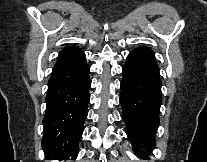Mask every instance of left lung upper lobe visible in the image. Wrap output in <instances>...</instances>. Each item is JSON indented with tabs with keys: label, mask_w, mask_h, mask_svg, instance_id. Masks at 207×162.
I'll list each match as a JSON object with an SVG mask.
<instances>
[{
	"label": "left lung upper lobe",
	"mask_w": 207,
	"mask_h": 162,
	"mask_svg": "<svg viewBox=\"0 0 207 162\" xmlns=\"http://www.w3.org/2000/svg\"><path fill=\"white\" fill-rule=\"evenodd\" d=\"M135 50H140V51H147V52H151L153 53V51L147 47H139V48H136Z\"/></svg>",
	"instance_id": "5c2ea615"
}]
</instances>
